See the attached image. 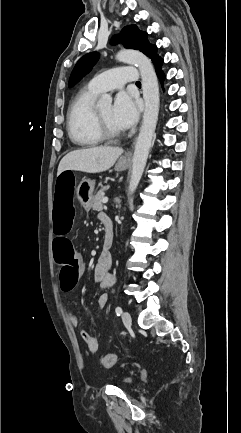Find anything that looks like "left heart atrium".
I'll use <instances>...</instances> for the list:
<instances>
[{
  "instance_id": "1",
  "label": "left heart atrium",
  "mask_w": 241,
  "mask_h": 433,
  "mask_svg": "<svg viewBox=\"0 0 241 433\" xmlns=\"http://www.w3.org/2000/svg\"><path fill=\"white\" fill-rule=\"evenodd\" d=\"M139 116V104L130 95L119 93L114 101L111 111L113 123L119 130L132 127Z\"/></svg>"
}]
</instances>
